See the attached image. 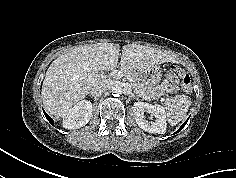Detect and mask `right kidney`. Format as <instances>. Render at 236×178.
<instances>
[{
	"instance_id": "ca27d5eb",
	"label": "right kidney",
	"mask_w": 236,
	"mask_h": 178,
	"mask_svg": "<svg viewBox=\"0 0 236 178\" xmlns=\"http://www.w3.org/2000/svg\"><path fill=\"white\" fill-rule=\"evenodd\" d=\"M92 117V103L82 100L74 105L63 118L65 129H78L85 126Z\"/></svg>"
}]
</instances>
